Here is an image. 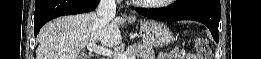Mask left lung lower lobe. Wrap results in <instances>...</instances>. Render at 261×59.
I'll list each match as a JSON object with an SVG mask.
<instances>
[{"instance_id": "left-lung-lower-lobe-1", "label": "left lung lower lobe", "mask_w": 261, "mask_h": 59, "mask_svg": "<svg viewBox=\"0 0 261 59\" xmlns=\"http://www.w3.org/2000/svg\"><path fill=\"white\" fill-rule=\"evenodd\" d=\"M136 12L161 21L195 20L205 24L216 42L221 15L220 0H177L165 10L136 8Z\"/></svg>"}]
</instances>
